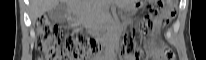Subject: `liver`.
Returning <instances> with one entry per match:
<instances>
[{"mask_svg": "<svg viewBox=\"0 0 206 60\" xmlns=\"http://www.w3.org/2000/svg\"><path fill=\"white\" fill-rule=\"evenodd\" d=\"M61 2H67V0H31L30 4L32 21H35L45 12H49Z\"/></svg>", "mask_w": 206, "mask_h": 60, "instance_id": "obj_1", "label": "liver"}]
</instances>
